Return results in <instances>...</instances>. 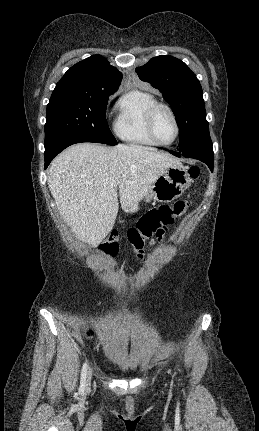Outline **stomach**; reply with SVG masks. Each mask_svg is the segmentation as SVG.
Returning <instances> with one entry per match:
<instances>
[{
  "instance_id": "obj_1",
  "label": "stomach",
  "mask_w": 259,
  "mask_h": 431,
  "mask_svg": "<svg viewBox=\"0 0 259 431\" xmlns=\"http://www.w3.org/2000/svg\"><path fill=\"white\" fill-rule=\"evenodd\" d=\"M191 182L188 170L182 164L172 165L152 184L144 200L171 202L180 197L190 187Z\"/></svg>"
}]
</instances>
